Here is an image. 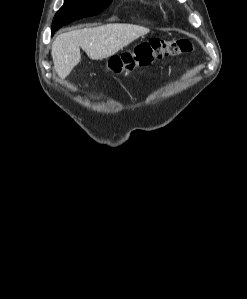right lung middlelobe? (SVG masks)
Returning <instances> with one entry per match:
<instances>
[{"instance_id": "dd1d6c3e", "label": "right lung middle lobe", "mask_w": 247, "mask_h": 299, "mask_svg": "<svg viewBox=\"0 0 247 299\" xmlns=\"http://www.w3.org/2000/svg\"><path fill=\"white\" fill-rule=\"evenodd\" d=\"M112 0H65L53 19L51 34L74 20L99 14Z\"/></svg>"}]
</instances>
